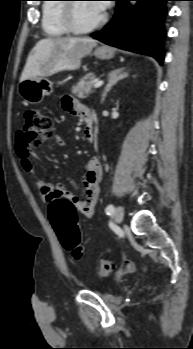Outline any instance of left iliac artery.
<instances>
[{"mask_svg":"<svg viewBox=\"0 0 193 349\" xmlns=\"http://www.w3.org/2000/svg\"><path fill=\"white\" fill-rule=\"evenodd\" d=\"M115 208L112 204H109L106 208V213L107 214H112L114 212Z\"/></svg>","mask_w":193,"mask_h":349,"instance_id":"obj_1","label":"left iliac artery"}]
</instances>
